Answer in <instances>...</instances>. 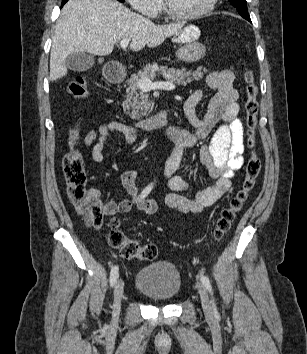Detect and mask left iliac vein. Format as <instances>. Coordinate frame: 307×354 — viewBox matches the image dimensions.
<instances>
[{"label": "left iliac vein", "instance_id": "left-iliac-vein-1", "mask_svg": "<svg viewBox=\"0 0 307 354\" xmlns=\"http://www.w3.org/2000/svg\"><path fill=\"white\" fill-rule=\"evenodd\" d=\"M197 289H198V293L201 298V303H202V307H203L204 312L207 315H211L212 308H211V303H210V299H209L206 288L201 283H197Z\"/></svg>", "mask_w": 307, "mask_h": 354}]
</instances>
